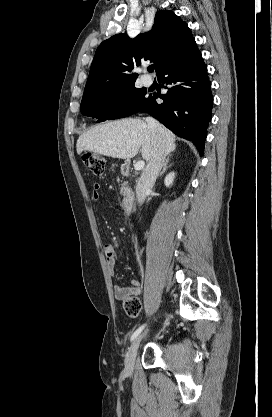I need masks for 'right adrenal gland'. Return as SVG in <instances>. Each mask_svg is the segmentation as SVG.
<instances>
[{
	"label": "right adrenal gland",
	"instance_id": "2a0ac1e0",
	"mask_svg": "<svg viewBox=\"0 0 272 417\" xmlns=\"http://www.w3.org/2000/svg\"><path fill=\"white\" fill-rule=\"evenodd\" d=\"M168 163H169V157L166 158V160L164 162V165H163V168H162V171L159 173V176H162L165 173V171L167 170V168L171 166V165L168 166Z\"/></svg>",
	"mask_w": 272,
	"mask_h": 417
}]
</instances>
